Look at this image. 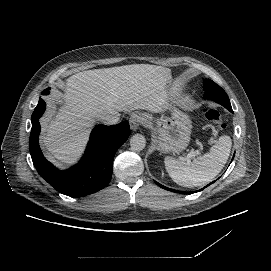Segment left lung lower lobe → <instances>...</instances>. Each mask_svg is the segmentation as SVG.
Wrapping results in <instances>:
<instances>
[{
  "instance_id": "left-lung-lower-lobe-1",
  "label": "left lung lower lobe",
  "mask_w": 271,
  "mask_h": 271,
  "mask_svg": "<svg viewBox=\"0 0 271 271\" xmlns=\"http://www.w3.org/2000/svg\"><path fill=\"white\" fill-rule=\"evenodd\" d=\"M230 112H232L233 113V111L232 110H230ZM233 158H234V155H233ZM232 158V159H233ZM215 181H213V182H211L210 184H212V183H214ZM158 186H160L161 188H164V189H166V190H169V191H173V192H177V193H183V194H190V193H192V192H182V191H177V190H173V189H170V188H167V187H165V186H163V185H161V184H159V183H157V182H155ZM210 184H208L207 186H209ZM207 186H205V187H207ZM204 187V188H205ZM204 188H202V189H200V190H198V191H201V190H203ZM198 191H195V192H198Z\"/></svg>"
}]
</instances>
